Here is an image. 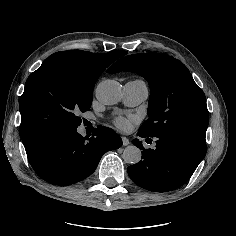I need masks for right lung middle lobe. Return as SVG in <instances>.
Masks as SVG:
<instances>
[{"instance_id":"dd1d6c3e","label":"right lung middle lobe","mask_w":236,"mask_h":236,"mask_svg":"<svg viewBox=\"0 0 236 236\" xmlns=\"http://www.w3.org/2000/svg\"><path fill=\"white\" fill-rule=\"evenodd\" d=\"M97 76L70 65L40 66L27 79L20 100V136L26 152L50 135L77 129L89 110Z\"/></svg>"}]
</instances>
